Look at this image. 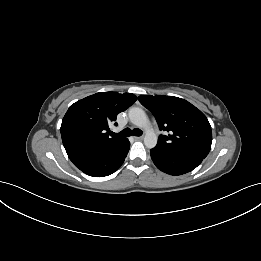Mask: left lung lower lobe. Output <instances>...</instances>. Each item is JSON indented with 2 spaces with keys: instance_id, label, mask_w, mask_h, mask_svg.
I'll return each mask as SVG.
<instances>
[{
  "instance_id": "0a47b994",
  "label": "left lung lower lobe",
  "mask_w": 261,
  "mask_h": 261,
  "mask_svg": "<svg viewBox=\"0 0 261 261\" xmlns=\"http://www.w3.org/2000/svg\"><path fill=\"white\" fill-rule=\"evenodd\" d=\"M151 158L156 167L170 175H182L195 169L203 158L182 152L171 150L160 145L150 150Z\"/></svg>"
}]
</instances>
